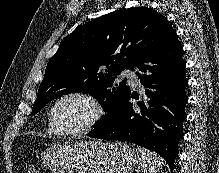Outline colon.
I'll return each instance as SVG.
<instances>
[{
	"label": "colon",
	"mask_w": 219,
	"mask_h": 173,
	"mask_svg": "<svg viewBox=\"0 0 219 173\" xmlns=\"http://www.w3.org/2000/svg\"><path fill=\"white\" fill-rule=\"evenodd\" d=\"M27 173H40V169L37 166H30Z\"/></svg>",
	"instance_id": "obj_1"
}]
</instances>
